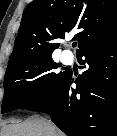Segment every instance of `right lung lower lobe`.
Masks as SVG:
<instances>
[{"mask_svg": "<svg viewBox=\"0 0 117 136\" xmlns=\"http://www.w3.org/2000/svg\"><path fill=\"white\" fill-rule=\"evenodd\" d=\"M78 56L84 72L66 76L25 109L50 114L67 136H117V29L89 43Z\"/></svg>", "mask_w": 117, "mask_h": 136, "instance_id": "1", "label": "right lung lower lobe"}]
</instances>
